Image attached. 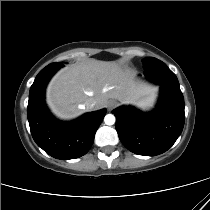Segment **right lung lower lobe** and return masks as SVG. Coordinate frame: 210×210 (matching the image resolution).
I'll use <instances>...</instances> for the list:
<instances>
[{"label": "right lung lower lobe", "instance_id": "obj_1", "mask_svg": "<svg viewBox=\"0 0 210 210\" xmlns=\"http://www.w3.org/2000/svg\"><path fill=\"white\" fill-rule=\"evenodd\" d=\"M62 66L51 63L38 73L30 88L27 116L32 137L40 148L57 159H74L91 148L106 110L87 113L71 122L55 119L45 105L44 91L51 76Z\"/></svg>", "mask_w": 210, "mask_h": 210}]
</instances>
